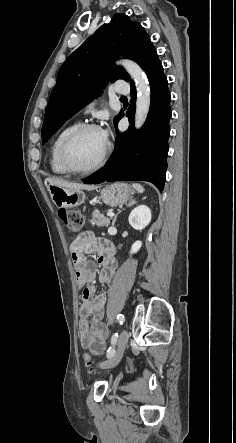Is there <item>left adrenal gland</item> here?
<instances>
[{"instance_id": "obj_1", "label": "left adrenal gland", "mask_w": 236, "mask_h": 443, "mask_svg": "<svg viewBox=\"0 0 236 443\" xmlns=\"http://www.w3.org/2000/svg\"><path fill=\"white\" fill-rule=\"evenodd\" d=\"M120 212H121V211H119V212L117 213V215L114 217V219H113V221H112V226L115 225V222H116L117 216H118V214H120Z\"/></svg>"}]
</instances>
